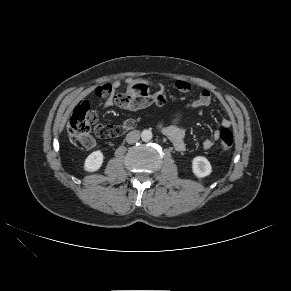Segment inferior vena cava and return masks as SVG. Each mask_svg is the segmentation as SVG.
Listing matches in <instances>:
<instances>
[{
    "instance_id": "602c4592",
    "label": "inferior vena cava",
    "mask_w": 291,
    "mask_h": 291,
    "mask_svg": "<svg viewBox=\"0 0 291 291\" xmlns=\"http://www.w3.org/2000/svg\"><path fill=\"white\" fill-rule=\"evenodd\" d=\"M140 139V132L138 130H133L129 132L126 136V142L129 144L136 143Z\"/></svg>"
}]
</instances>
